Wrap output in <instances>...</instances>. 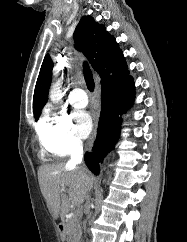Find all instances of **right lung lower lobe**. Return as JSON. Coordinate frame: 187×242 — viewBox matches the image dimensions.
<instances>
[{
    "label": "right lung lower lobe",
    "instance_id": "98d812e1",
    "mask_svg": "<svg viewBox=\"0 0 187 242\" xmlns=\"http://www.w3.org/2000/svg\"><path fill=\"white\" fill-rule=\"evenodd\" d=\"M134 93L133 78L129 75L102 86L97 138L92 152H86L84 156L86 165L95 175L99 174L100 162L117 142L121 124L119 114L125 113L132 106Z\"/></svg>",
    "mask_w": 187,
    "mask_h": 242
}]
</instances>
